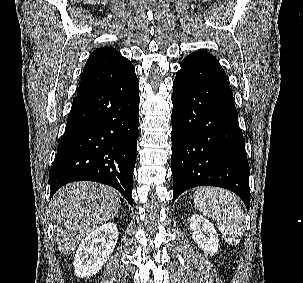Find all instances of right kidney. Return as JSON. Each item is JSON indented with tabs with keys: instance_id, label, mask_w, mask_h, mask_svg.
Returning <instances> with one entry per match:
<instances>
[{
	"instance_id": "obj_1",
	"label": "right kidney",
	"mask_w": 303,
	"mask_h": 283,
	"mask_svg": "<svg viewBox=\"0 0 303 283\" xmlns=\"http://www.w3.org/2000/svg\"><path fill=\"white\" fill-rule=\"evenodd\" d=\"M117 237V226L111 222L103 224L86 236L75 254L73 265L76 276L90 277L99 272L114 251Z\"/></svg>"
}]
</instances>
